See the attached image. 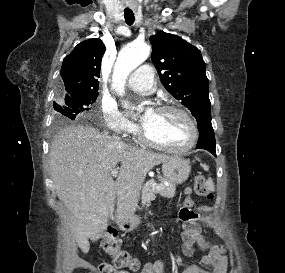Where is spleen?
<instances>
[{"instance_id": "obj_1", "label": "spleen", "mask_w": 285, "mask_h": 273, "mask_svg": "<svg viewBox=\"0 0 285 273\" xmlns=\"http://www.w3.org/2000/svg\"><path fill=\"white\" fill-rule=\"evenodd\" d=\"M204 169H205V170H208L209 167H208L207 165H204ZM208 184H209V187H210L211 189H214V183H213L212 179H209Z\"/></svg>"}]
</instances>
